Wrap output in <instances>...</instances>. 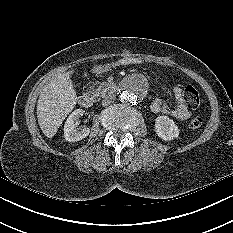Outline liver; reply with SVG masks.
Returning <instances> with one entry per match:
<instances>
[{
	"mask_svg": "<svg viewBox=\"0 0 233 233\" xmlns=\"http://www.w3.org/2000/svg\"><path fill=\"white\" fill-rule=\"evenodd\" d=\"M73 70L52 79L42 90L37 102L40 129L52 138L77 103V95L70 79Z\"/></svg>",
	"mask_w": 233,
	"mask_h": 233,
	"instance_id": "6515ba94",
	"label": "liver"
}]
</instances>
